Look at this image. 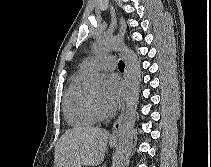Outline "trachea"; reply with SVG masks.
I'll list each match as a JSON object with an SVG mask.
<instances>
[{
    "instance_id": "trachea-1",
    "label": "trachea",
    "mask_w": 211,
    "mask_h": 167,
    "mask_svg": "<svg viewBox=\"0 0 211 167\" xmlns=\"http://www.w3.org/2000/svg\"><path fill=\"white\" fill-rule=\"evenodd\" d=\"M124 67H125L124 62L120 60L118 65L119 70H124Z\"/></svg>"
}]
</instances>
